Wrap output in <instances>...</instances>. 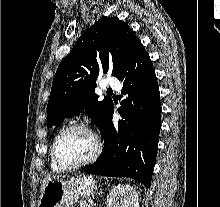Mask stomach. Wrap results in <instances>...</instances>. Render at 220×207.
Wrapping results in <instances>:
<instances>
[{
  "label": "stomach",
  "mask_w": 220,
  "mask_h": 207,
  "mask_svg": "<svg viewBox=\"0 0 220 207\" xmlns=\"http://www.w3.org/2000/svg\"><path fill=\"white\" fill-rule=\"evenodd\" d=\"M97 187L92 176L79 175L67 180L52 178L39 197L38 207H71L78 199L93 195Z\"/></svg>",
  "instance_id": "stomach-1"
}]
</instances>
